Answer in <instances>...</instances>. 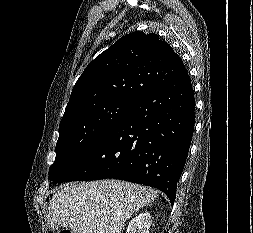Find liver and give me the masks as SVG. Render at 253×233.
I'll return each mask as SVG.
<instances>
[{"label":"liver","mask_w":253,"mask_h":233,"mask_svg":"<svg viewBox=\"0 0 253 233\" xmlns=\"http://www.w3.org/2000/svg\"><path fill=\"white\" fill-rule=\"evenodd\" d=\"M157 196L152 188L119 180L70 184L52 196L47 223L73 233H121L126 220Z\"/></svg>","instance_id":"6515ba94"}]
</instances>
